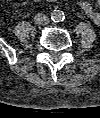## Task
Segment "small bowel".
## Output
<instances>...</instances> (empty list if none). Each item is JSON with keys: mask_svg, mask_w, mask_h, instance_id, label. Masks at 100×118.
Listing matches in <instances>:
<instances>
[{"mask_svg": "<svg viewBox=\"0 0 100 118\" xmlns=\"http://www.w3.org/2000/svg\"><path fill=\"white\" fill-rule=\"evenodd\" d=\"M35 2H40L42 0H33ZM50 2H55L56 0H47ZM100 3V0H97ZM79 6L83 10V12L89 16L96 24H100V12L95 10L90 2L87 0H80Z\"/></svg>", "mask_w": 100, "mask_h": 118, "instance_id": "1", "label": "small bowel"}]
</instances>
